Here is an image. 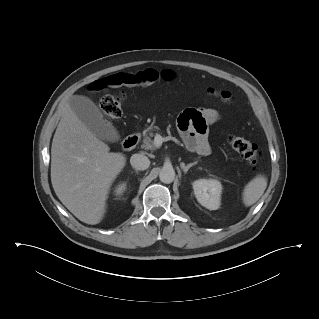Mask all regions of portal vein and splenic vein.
Here are the masks:
<instances>
[{"label": "portal vein and splenic vein", "mask_w": 319, "mask_h": 319, "mask_svg": "<svg viewBox=\"0 0 319 319\" xmlns=\"http://www.w3.org/2000/svg\"><path fill=\"white\" fill-rule=\"evenodd\" d=\"M162 137L160 136V135H157L156 136V140H155V144L157 145V146H159L161 143H162Z\"/></svg>", "instance_id": "1"}]
</instances>
